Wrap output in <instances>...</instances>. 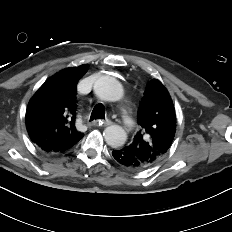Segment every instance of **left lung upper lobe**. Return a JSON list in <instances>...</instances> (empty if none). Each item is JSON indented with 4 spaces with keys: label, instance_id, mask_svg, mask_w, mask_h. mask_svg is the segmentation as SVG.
Listing matches in <instances>:
<instances>
[{
    "label": "left lung upper lobe",
    "instance_id": "5c2ea615",
    "mask_svg": "<svg viewBox=\"0 0 232 232\" xmlns=\"http://www.w3.org/2000/svg\"><path fill=\"white\" fill-rule=\"evenodd\" d=\"M140 131L127 149L147 169L159 162L170 149L176 132V113L172 99L157 80L146 86L138 113Z\"/></svg>",
    "mask_w": 232,
    "mask_h": 232
}]
</instances>
